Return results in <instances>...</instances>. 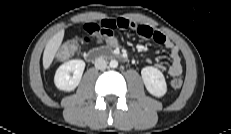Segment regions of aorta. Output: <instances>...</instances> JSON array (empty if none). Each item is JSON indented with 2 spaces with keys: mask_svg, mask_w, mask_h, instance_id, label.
Returning a JSON list of instances; mask_svg holds the SVG:
<instances>
[{
  "mask_svg": "<svg viewBox=\"0 0 231 134\" xmlns=\"http://www.w3.org/2000/svg\"><path fill=\"white\" fill-rule=\"evenodd\" d=\"M109 66L111 68H117L118 67V62L116 60H111L109 63Z\"/></svg>",
  "mask_w": 231,
  "mask_h": 134,
  "instance_id": "obj_1",
  "label": "aorta"
}]
</instances>
